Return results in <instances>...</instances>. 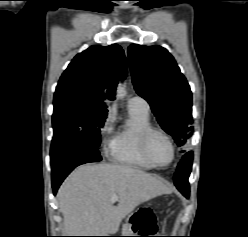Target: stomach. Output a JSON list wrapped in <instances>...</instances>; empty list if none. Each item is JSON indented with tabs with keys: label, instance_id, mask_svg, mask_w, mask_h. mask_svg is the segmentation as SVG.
Returning <instances> with one entry per match:
<instances>
[{
	"label": "stomach",
	"instance_id": "stomach-1",
	"mask_svg": "<svg viewBox=\"0 0 248 237\" xmlns=\"http://www.w3.org/2000/svg\"><path fill=\"white\" fill-rule=\"evenodd\" d=\"M136 233H137V231H134L131 227H128L125 236H135Z\"/></svg>",
	"mask_w": 248,
	"mask_h": 237
}]
</instances>
